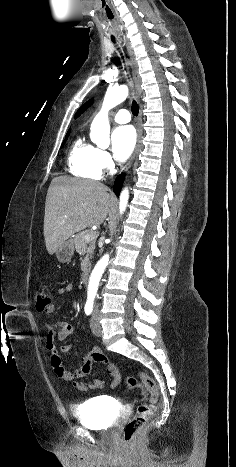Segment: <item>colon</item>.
<instances>
[{
  "mask_svg": "<svg viewBox=\"0 0 236 467\" xmlns=\"http://www.w3.org/2000/svg\"><path fill=\"white\" fill-rule=\"evenodd\" d=\"M36 307L38 311H44L50 305V294L45 288H38L35 291ZM96 360L102 361L106 356L102 353L93 356ZM137 377L127 376L125 386L132 390L138 386V379L144 390L150 394V403H139L136 408L135 416L127 422L122 431V440L126 444L134 441L138 431L146 424V421L152 416L156 409V402L159 397V391L155 381L146 373L138 372Z\"/></svg>",
  "mask_w": 236,
  "mask_h": 467,
  "instance_id": "colon-1",
  "label": "colon"
}]
</instances>
